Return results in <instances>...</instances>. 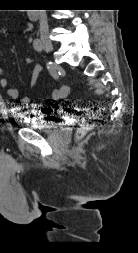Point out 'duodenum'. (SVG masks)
Wrapping results in <instances>:
<instances>
[{
    "label": "duodenum",
    "instance_id": "410a0bca",
    "mask_svg": "<svg viewBox=\"0 0 138 253\" xmlns=\"http://www.w3.org/2000/svg\"><path fill=\"white\" fill-rule=\"evenodd\" d=\"M37 16H38V10L37 9H30L28 11V17H29V19L34 20V19L37 18Z\"/></svg>",
    "mask_w": 138,
    "mask_h": 253
}]
</instances>
